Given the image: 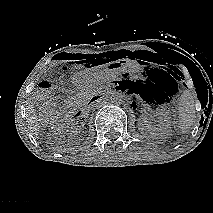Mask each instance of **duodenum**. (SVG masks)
<instances>
[{"mask_svg":"<svg viewBox=\"0 0 213 213\" xmlns=\"http://www.w3.org/2000/svg\"><path fill=\"white\" fill-rule=\"evenodd\" d=\"M106 97V94L105 93H99V94H96L95 96H93L89 102V105H91L92 103H95V102H99V101H102L103 99H105ZM85 112V109H82V108H75L73 109L71 112H69L71 115H73L74 117H78V116H81L83 115Z\"/></svg>","mask_w":213,"mask_h":213,"instance_id":"obj_1","label":"duodenum"}]
</instances>
